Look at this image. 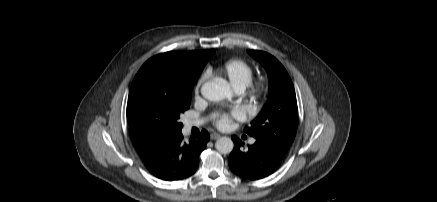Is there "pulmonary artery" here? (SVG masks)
<instances>
[{"mask_svg":"<svg viewBox=\"0 0 437 202\" xmlns=\"http://www.w3.org/2000/svg\"><path fill=\"white\" fill-rule=\"evenodd\" d=\"M238 92H241L242 90H237ZM203 123V121L202 120H188L187 122H186V127L189 129V128H191V127H194V126H199V125H201ZM251 143H254V140H251L250 141Z\"/></svg>","mask_w":437,"mask_h":202,"instance_id":"e3ab8cb5","label":"pulmonary artery"}]
</instances>
